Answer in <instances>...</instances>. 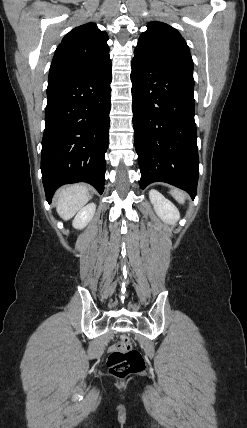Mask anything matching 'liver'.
Wrapping results in <instances>:
<instances>
[{"label": "liver", "instance_id": "6515ba94", "mask_svg": "<svg viewBox=\"0 0 247 428\" xmlns=\"http://www.w3.org/2000/svg\"><path fill=\"white\" fill-rule=\"evenodd\" d=\"M88 188L85 184H73L60 188L56 193V210L67 221L71 219L88 201Z\"/></svg>", "mask_w": 247, "mask_h": 428}]
</instances>
